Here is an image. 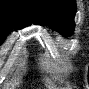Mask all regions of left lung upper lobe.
<instances>
[{
  "instance_id": "1",
  "label": "left lung upper lobe",
  "mask_w": 89,
  "mask_h": 89,
  "mask_svg": "<svg viewBox=\"0 0 89 89\" xmlns=\"http://www.w3.org/2000/svg\"><path fill=\"white\" fill-rule=\"evenodd\" d=\"M34 23L49 25L63 36L74 30L75 0H31Z\"/></svg>"
}]
</instances>
